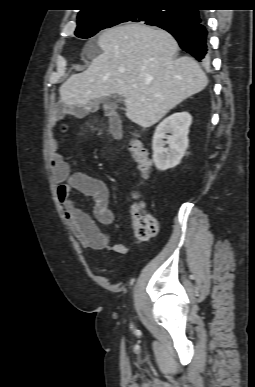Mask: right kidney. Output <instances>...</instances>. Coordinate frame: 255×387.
Instances as JSON below:
<instances>
[{"mask_svg":"<svg viewBox=\"0 0 255 387\" xmlns=\"http://www.w3.org/2000/svg\"><path fill=\"white\" fill-rule=\"evenodd\" d=\"M191 123V115L187 112H181L165 118L156 127L152 149L153 161L158 170L165 171L180 163L188 148V133ZM166 144H168V148L165 147Z\"/></svg>","mask_w":255,"mask_h":387,"instance_id":"1","label":"right kidney"}]
</instances>
